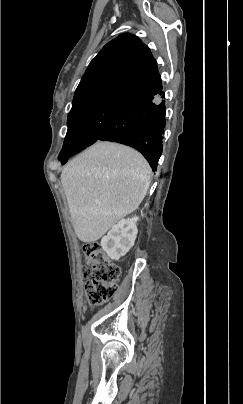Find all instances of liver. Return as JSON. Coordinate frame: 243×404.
Segmentation results:
<instances>
[{
  "instance_id": "liver-1",
  "label": "liver",
  "mask_w": 243,
  "mask_h": 404,
  "mask_svg": "<svg viewBox=\"0 0 243 404\" xmlns=\"http://www.w3.org/2000/svg\"><path fill=\"white\" fill-rule=\"evenodd\" d=\"M151 168L128 146L97 142L66 164L61 182L74 232L97 242L119 220L137 210L150 186Z\"/></svg>"
}]
</instances>
